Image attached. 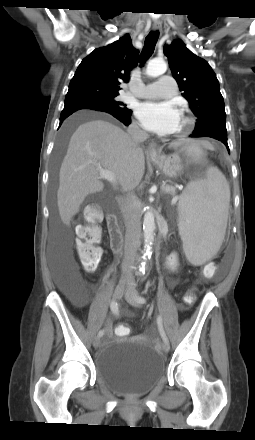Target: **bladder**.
Masks as SVG:
<instances>
[{"label": "bladder", "mask_w": 255, "mask_h": 440, "mask_svg": "<svg viewBox=\"0 0 255 440\" xmlns=\"http://www.w3.org/2000/svg\"><path fill=\"white\" fill-rule=\"evenodd\" d=\"M96 372L107 388L141 395L163 377L165 361L154 347L139 339H109L96 359Z\"/></svg>", "instance_id": "bladder-1"}]
</instances>
